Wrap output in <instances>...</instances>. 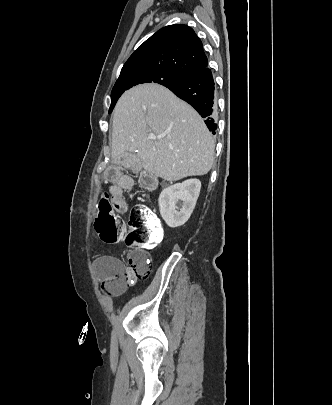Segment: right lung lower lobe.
<instances>
[{"label":"right lung lower lobe","instance_id":"right-lung-lower-lobe-1","mask_svg":"<svg viewBox=\"0 0 332 405\" xmlns=\"http://www.w3.org/2000/svg\"><path fill=\"white\" fill-rule=\"evenodd\" d=\"M167 88L188 102L203 118H206L205 123L208 129L215 134L217 124L213 115L216 112L217 100L214 79L208 67L184 77Z\"/></svg>","mask_w":332,"mask_h":405}]
</instances>
